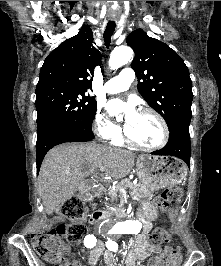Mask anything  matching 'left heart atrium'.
Masks as SVG:
<instances>
[{"label": "left heart atrium", "mask_w": 221, "mask_h": 266, "mask_svg": "<svg viewBox=\"0 0 221 266\" xmlns=\"http://www.w3.org/2000/svg\"><path fill=\"white\" fill-rule=\"evenodd\" d=\"M107 110L111 115L123 112L125 114V122H130L137 116L135 104L132 101L123 102L119 99H113L107 104Z\"/></svg>", "instance_id": "obj_1"}]
</instances>
